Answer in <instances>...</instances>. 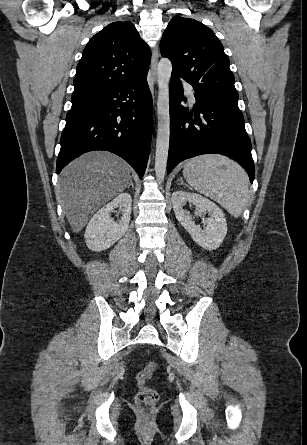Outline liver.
I'll list each match as a JSON object with an SVG mask.
<instances>
[{"label": "liver", "mask_w": 307, "mask_h": 445, "mask_svg": "<svg viewBox=\"0 0 307 445\" xmlns=\"http://www.w3.org/2000/svg\"><path fill=\"white\" fill-rule=\"evenodd\" d=\"M129 172V164L107 150L85 152L63 168L56 196L74 233L86 227L102 204L125 190Z\"/></svg>", "instance_id": "liver-1"}]
</instances>
